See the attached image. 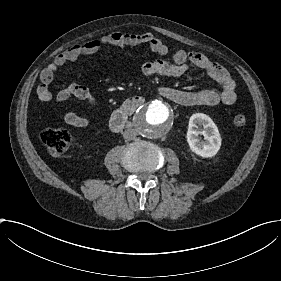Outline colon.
<instances>
[{"label":"colon","mask_w":281,"mask_h":281,"mask_svg":"<svg viewBox=\"0 0 281 281\" xmlns=\"http://www.w3.org/2000/svg\"><path fill=\"white\" fill-rule=\"evenodd\" d=\"M231 121L234 126L243 127L247 123V117L244 113L237 112L232 115ZM41 140L53 157L63 154L74 144L70 132L64 128L44 130L41 134Z\"/></svg>","instance_id":"obj_1"}]
</instances>
